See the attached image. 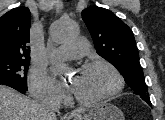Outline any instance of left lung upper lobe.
<instances>
[{
    "instance_id": "1",
    "label": "left lung upper lobe",
    "mask_w": 165,
    "mask_h": 120,
    "mask_svg": "<svg viewBox=\"0 0 165 120\" xmlns=\"http://www.w3.org/2000/svg\"><path fill=\"white\" fill-rule=\"evenodd\" d=\"M81 14L96 52L118 69L135 94L151 104L132 30L105 8L93 6Z\"/></svg>"
}]
</instances>
